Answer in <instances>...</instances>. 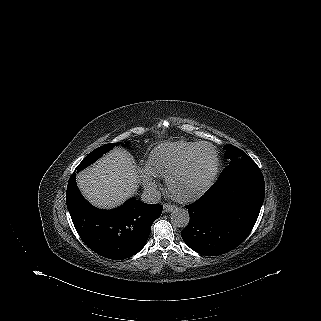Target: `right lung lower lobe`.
I'll return each mask as SVG.
<instances>
[{
	"label": "right lung lower lobe",
	"instance_id": "98d812e1",
	"mask_svg": "<svg viewBox=\"0 0 321 321\" xmlns=\"http://www.w3.org/2000/svg\"><path fill=\"white\" fill-rule=\"evenodd\" d=\"M66 202L82 241L100 256L114 260L131 257L144 247L163 209L134 198L112 210L98 209L79 192L75 173L68 182Z\"/></svg>",
	"mask_w": 321,
	"mask_h": 321
}]
</instances>
